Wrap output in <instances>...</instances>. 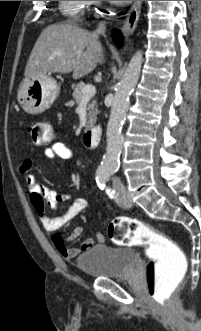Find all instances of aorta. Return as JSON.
<instances>
[{
    "mask_svg": "<svg viewBox=\"0 0 201 331\" xmlns=\"http://www.w3.org/2000/svg\"><path fill=\"white\" fill-rule=\"evenodd\" d=\"M142 60V51H137L131 58L123 78L117 86L107 124L106 153L97 171L99 178H107L119 166L123 143L122 126L129 108V97L140 76Z\"/></svg>",
    "mask_w": 201,
    "mask_h": 331,
    "instance_id": "aorta-1",
    "label": "aorta"
}]
</instances>
